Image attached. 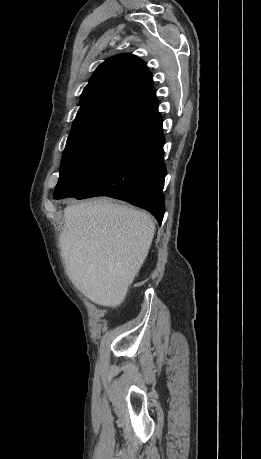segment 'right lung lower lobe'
<instances>
[{
	"label": "right lung lower lobe",
	"mask_w": 261,
	"mask_h": 459,
	"mask_svg": "<svg viewBox=\"0 0 261 459\" xmlns=\"http://www.w3.org/2000/svg\"><path fill=\"white\" fill-rule=\"evenodd\" d=\"M162 122L133 150L70 197L109 196L148 210L161 225L166 168L163 162Z\"/></svg>",
	"instance_id": "right-lung-lower-lobe-1"
}]
</instances>
